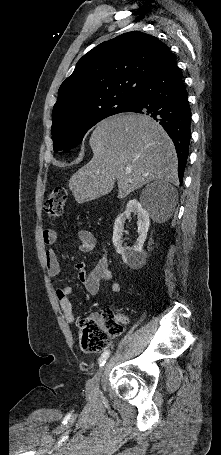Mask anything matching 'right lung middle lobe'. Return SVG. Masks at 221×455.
<instances>
[{
	"label": "right lung middle lobe",
	"instance_id": "obj_1",
	"mask_svg": "<svg viewBox=\"0 0 221 455\" xmlns=\"http://www.w3.org/2000/svg\"><path fill=\"white\" fill-rule=\"evenodd\" d=\"M132 100L111 99L97 103L69 117L53 122L54 151H68L82 142L86 132L101 120L124 112Z\"/></svg>",
	"mask_w": 221,
	"mask_h": 455
}]
</instances>
